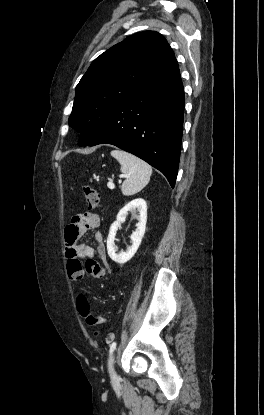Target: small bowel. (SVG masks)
<instances>
[{"label": "small bowel", "mask_w": 264, "mask_h": 415, "mask_svg": "<svg viewBox=\"0 0 264 415\" xmlns=\"http://www.w3.org/2000/svg\"><path fill=\"white\" fill-rule=\"evenodd\" d=\"M98 226L99 219L96 214H89L85 217L75 216L71 219V223L65 232V257L68 261L76 259L88 260L94 258L96 254L101 260L106 261V247L102 233L97 231ZM90 230H96L94 234L97 243L96 248L92 245L79 242L80 238L85 236ZM70 278L75 279V276L72 275Z\"/></svg>", "instance_id": "1"}]
</instances>
